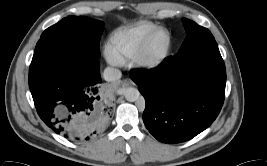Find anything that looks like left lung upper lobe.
<instances>
[{
	"label": "left lung upper lobe",
	"mask_w": 267,
	"mask_h": 166,
	"mask_svg": "<svg viewBox=\"0 0 267 166\" xmlns=\"http://www.w3.org/2000/svg\"><path fill=\"white\" fill-rule=\"evenodd\" d=\"M183 22L185 30L187 31V37L182 44L178 54H182L188 51L191 47L201 41L214 39L213 35L208 29L199 26L195 22L186 18H183Z\"/></svg>",
	"instance_id": "5c2ea615"
}]
</instances>
